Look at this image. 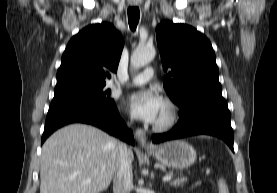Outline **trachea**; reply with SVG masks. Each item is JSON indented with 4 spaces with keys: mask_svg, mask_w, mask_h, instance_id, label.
<instances>
[{
    "mask_svg": "<svg viewBox=\"0 0 277 193\" xmlns=\"http://www.w3.org/2000/svg\"><path fill=\"white\" fill-rule=\"evenodd\" d=\"M140 18V11L137 7L128 8V23L132 31L136 30Z\"/></svg>",
    "mask_w": 277,
    "mask_h": 193,
    "instance_id": "trachea-1",
    "label": "trachea"
}]
</instances>
